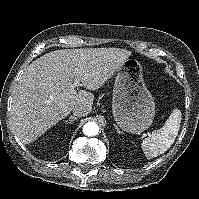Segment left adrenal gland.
<instances>
[{
    "label": "left adrenal gland",
    "instance_id": "left-adrenal-gland-1",
    "mask_svg": "<svg viewBox=\"0 0 199 199\" xmlns=\"http://www.w3.org/2000/svg\"><path fill=\"white\" fill-rule=\"evenodd\" d=\"M114 127H115V129H116L117 133H118V134H120V133H121V131L119 130L118 126L114 124Z\"/></svg>",
    "mask_w": 199,
    "mask_h": 199
}]
</instances>
